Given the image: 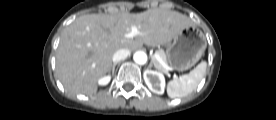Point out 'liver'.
<instances>
[{
  "label": "liver",
  "mask_w": 276,
  "mask_h": 120,
  "mask_svg": "<svg viewBox=\"0 0 276 120\" xmlns=\"http://www.w3.org/2000/svg\"><path fill=\"white\" fill-rule=\"evenodd\" d=\"M133 26L140 34L125 38ZM189 26H193L189 17L164 8L137 14L80 16L62 33L56 55L58 78L72 93L93 95L98 80L111 70L117 50L134 51L143 44L164 45Z\"/></svg>",
  "instance_id": "obj_1"
}]
</instances>
